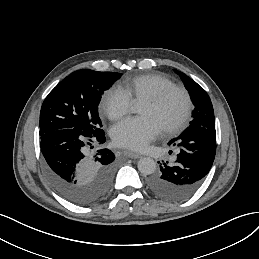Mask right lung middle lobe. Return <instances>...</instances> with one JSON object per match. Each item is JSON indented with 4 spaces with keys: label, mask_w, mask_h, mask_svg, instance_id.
<instances>
[{
    "label": "right lung middle lobe",
    "mask_w": 259,
    "mask_h": 259,
    "mask_svg": "<svg viewBox=\"0 0 259 259\" xmlns=\"http://www.w3.org/2000/svg\"><path fill=\"white\" fill-rule=\"evenodd\" d=\"M120 76V73L81 69L64 78L42 104L40 137L61 129H74L86 137L101 132L99 101Z\"/></svg>",
    "instance_id": "1"
}]
</instances>
